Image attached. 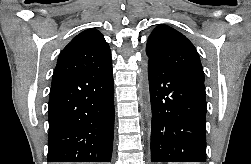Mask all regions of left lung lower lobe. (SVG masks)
Masks as SVG:
<instances>
[{"mask_svg":"<svg viewBox=\"0 0 251 164\" xmlns=\"http://www.w3.org/2000/svg\"><path fill=\"white\" fill-rule=\"evenodd\" d=\"M152 162L206 161L204 80L148 62Z\"/></svg>","mask_w":251,"mask_h":164,"instance_id":"1","label":"left lung lower lobe"}]
</instances>
